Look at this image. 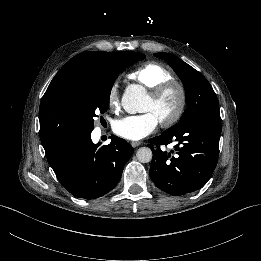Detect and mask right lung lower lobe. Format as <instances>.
Masks as SVG:
<instances>
[{"instance_id": "obj_1", "label": "right lung lower lobe", "mask_w": 261, "mask_h": 261, "mask_svg": "<svg viewBox=\"0 0 261 261\" xmlns=\"http://www.w3.org/2000/svg\"><path fill=\"white\" fill-rule=\"evenodd\" d=\"M91 134L69 138L46 154L61 185L73 196L95 199L110 192L119 182L132 146L114 135L99 147Z\"/></svg>"}]
</instances>
